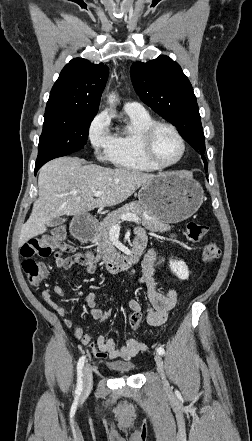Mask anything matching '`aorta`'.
Instances as JSON below:
<instances>
[{
  "mask_svg": "<svg viewBox=\"0 0 252 441\" xmlns=\"http://www.w3.org/2000/svg\"><path fill=\"white\" fill-rule=\"evenodd\" d=\"M108 100H109V103H110V104H114V103H115V95L111 94V95L108 97Z\"/></svg>",
  "mask_w": 252,
  "mask_h": 441,
  "instance_id": "aorta-1",
  "label": "aorta"
}]
</instances>
